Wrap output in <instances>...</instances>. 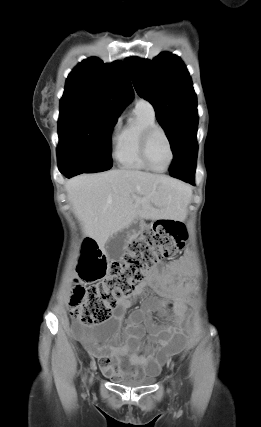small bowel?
<instances>
[{
  "mask_svg": "<svg viewBox=\"0 0 261 427\" xmlns=\"http://www.w3.org/2000/svg\"><path fill=\"white\" fill-rule=\"evenodd\" d=\"M188 268L185 257L165 266L155 265L130 295L116 302L114 314L107 324L97 329L80 325L73 327L74 337L91 356L100 360L99 366L104 374L116 379H133L141 374L157 375L166 360L184 348L185 335L179 326L181 313L177 314L174 325L157 324L152 317L157 308L153 298L146 297L142 305L129 315L124 327L123 321L133 300L144 295L147 287L161 292L177 286L181 283L180 274ZM100 341L104 344L101 345ZM144 346L149 348L147 354L140 352ZM122 357L129 358L128 366H121Z\"/></svg>",
  "mask_w": 261,
  "mask_h": 427,
  "instance_id": "c3829d8e",
  "label": "small bowel"
}]
</instances>
